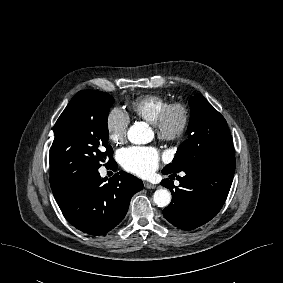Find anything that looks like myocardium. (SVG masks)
Segmentation results:
<instances>
[{"instance_id":"myocardium-1","label":"myocardium","mask_w":283,"mask_h":283,"mask_svg":"<svg viewBox=\"0 0 283 283\" xmlns=\"http://www.w3.org/2000/svg\"><path fill=\"white\" fill-rule=\"evenodd\" d=\"M191 122L188 105L181 101L169 102L153 124L160 140L172 142L180 140L187 132Z\"/></svg>"}]
</instances>
